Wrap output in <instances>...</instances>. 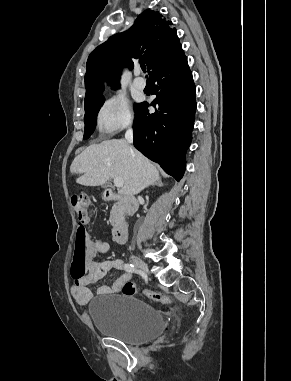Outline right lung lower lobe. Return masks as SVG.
Returning <instances> with one entry per match:
<instances>
[{
	"label": "right lung lower lobe",
	"mask_w": 291,
	"mask_h": 381,
	"mask_svg": "<svg viewBox=\"0 0 291 381\" xmlns=\"http://www.w3.org/2000/svg\"><path fill=\"white\" fill-rule=\"evenodd\" d=\"M150 114L148 103L135 108L134 146L146 157L160 164L166 173L179 181L185 171V151L191 143V131L196 110L195 85L187 58L181 50L155 69Z\"/></svg>",
	"instance_id": "obj_1"
}]
</instances>
